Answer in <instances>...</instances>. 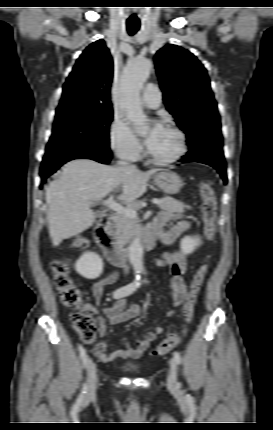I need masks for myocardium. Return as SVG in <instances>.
Masks as SVG:
<instances>
[{
    "instance_id": "myocardium-1",
    "label": "myocardium",
    "mask_w": 273,
    "mask_h": 430,
    "mask_svg": "<svg viewBox=\"0 0 273 430\" xmlns=\"http://www.w3.org/2000/svg\"><path fill=\"white\" fill-rule=\"evenodd\" d=\"M163 128L176 134V136L178 137V150L173 156L169 158H158V157H155L148 149L147 157L152 163L156 165L173 164L179 161L187 152V138L185 133L178 126L170 123H165L163 125Z\"/></svg>"
}]
</instances>
